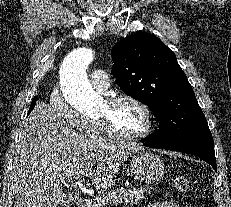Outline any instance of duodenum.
I'll return each mask as SVG.
<instances>
[{"instance_id": "410a0bca", "label": "duodenum", "mask_w": 231, "mask_h": 207, "mask_svg": "<svg viewBox=\"0 0 231 207\" xmlns=\"http://www.w3.org/2000/svg\"><path fill=\"white\" fill-rule=\"evenodd\" d=\"M77 207H91V200L88 197H81L78 200Z\"/></svg>"}]
</instances>
